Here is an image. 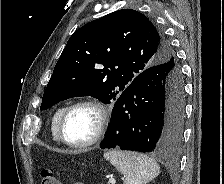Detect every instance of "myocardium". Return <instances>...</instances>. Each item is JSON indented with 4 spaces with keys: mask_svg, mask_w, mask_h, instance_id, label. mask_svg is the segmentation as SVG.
<instances>
[{
    "mask_svg": "<svg viewBox=\"0 0 224 184\" xmlns=\"http://www.w3.org/2000/svg\"><path fill=\"white\" fill-rule=\"evenodd\" d=\"M78 107L93 108L97 112L99 120H98V124H97L96 130H95V133L89 140L82 142V143H73V142H70L69 140H67V138L65 137L64 125H65V121H66L68 115L71 113V111ZM109 123H110V110L105 103H103L97 99H93V98L78 99V100L72 102L70 105H68L64 109V111L59 119V123H58V136L62 143H64L65 145H67L71 148L85 149V148H88V147H91V146L97 144L104 138V136L107 133Z\"/></svg>",
    "mask_w": 224,
    "mask_h": 184,
    "instance_id": "obj_1",
    "label": "myocardium"
}]
</instances>
